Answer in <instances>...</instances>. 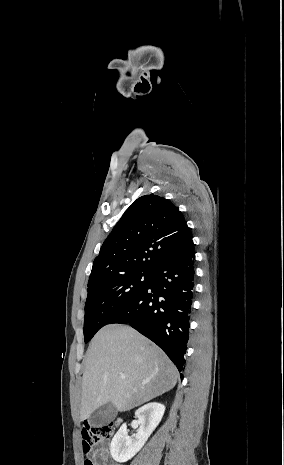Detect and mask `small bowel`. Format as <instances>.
<instances>
[{
  "label": "small bowel",
  "mask_w": 284,
  "mask_h": 465,
  "mask_svg": "<svg viewBox=\"0 0 284 465\" xmlns=\"http://www.w3.org/2000/svg\"><path fill=\"white\" fill-rule=\"evenodd\" d=\"M109 449L105 443H101L94 453V459L97 465H108Z\"/></svg>",
  "instance_id": "c3829d8e"
}]
</instances>
